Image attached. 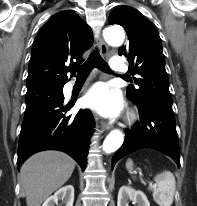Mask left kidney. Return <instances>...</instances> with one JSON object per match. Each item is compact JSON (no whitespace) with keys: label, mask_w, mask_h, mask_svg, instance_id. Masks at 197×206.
<instances>
[{"label":"left kidney","mask_w":197,"mask_h":206,"mask_svg":"<svg viewBox=\"0 0 197 206\" xmlns=\"http://www.w3.org/2000/svg\"><path fill=\"white\" fill-rule=\"evenodd\" d=\"M128 200L133 201L138 206H150L146 195L142 191H136L129 186H122L118 192L117 206H128Z\"/></svg>","instance_id":"left-kidney-1"}]
</instances>
